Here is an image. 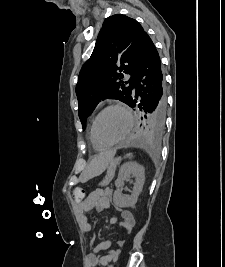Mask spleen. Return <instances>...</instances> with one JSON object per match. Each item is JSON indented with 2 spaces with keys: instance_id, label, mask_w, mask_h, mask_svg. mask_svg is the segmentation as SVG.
<instances>
[{
  "instance_id": "1",
  "label": "spleen",
  "mask_w": 225,
  "mask_h": 267,
  "mask_svg": "<svg viewBox=\"0 0 225 267\" xmlns=\"http://www.w3.org/2000/svg\"><path fill=\"white\" fill-rule=\"evenodd\" d=\"M127 157H128L129 159H131V158L133 157V155H132L131 153H129V154H127Z\"/></svg>"
}]
</instances>
